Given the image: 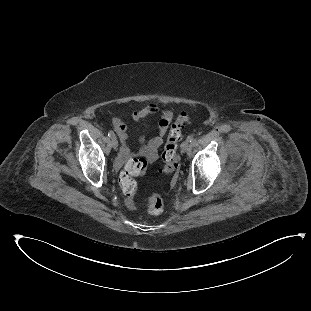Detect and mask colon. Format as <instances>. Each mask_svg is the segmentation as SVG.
Instances as JSON below:
<instances>
[{"instance_id":"obj_1","label":"colon","mask_w":311,"mask_h":311,"mask_svg":"<svg viewBox=\"0 0 311 311\" xmlns=\"http://www.w3.org/2000/svg\"><path fill=\"white\" fill-rule=\"evenodd\" d=\"M190 123V116L187 112H180L176 120L171 124L162 153L163 167L161 172L164 175H171L178 169L177 149L182 137V131ZM147 162L144 157L133 158L120 175V185L127 198L134 197L137 190L135 175L142 173ZM148 211L151 214H160L164 209V203L159 195H152L148 198Z\"/></svg>"}]
</instances>
